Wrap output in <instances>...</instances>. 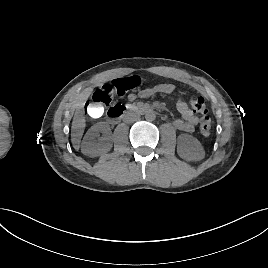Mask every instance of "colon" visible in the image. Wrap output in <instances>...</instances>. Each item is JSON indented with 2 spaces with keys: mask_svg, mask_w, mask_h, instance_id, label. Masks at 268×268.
Wrapping results in <instances>:
<instances>
[{
  "mask_svg": "<svg viewBox=\"0 0 268 268\" xmlns=\"http://www.w3.org/2000/svg\"><path fill=\"white\" fill-rule=\"evenodd\" d=\"M141 83L138 76H130L125 78L115 79L109 83L102 85L93 94V102L98 101L103 105H109L115 96H123L128 91L135 89ZM89 104H86V107ZM191 108L194 112L200 114V133L207 137L211 133L212 123L208 115V108L203 97H193L190 100Z\"/></svg>",
  "mask_w": 268,
  "mask_h": 268,
  "instance_id": "obj_1",
  "label": "colon"
}]
</instances>
